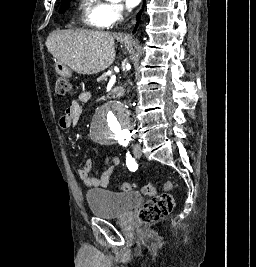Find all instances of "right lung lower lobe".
I'll list each match as a JSON object with an SVG mask.
<instances>
[{
  "label": "right lung lower lobe",
  "instance_id": "right-lung-lower-lobe-1",
  "mask_svg": "<svg viewBox=\"0 0 256 267\" xmlns=\"http://www.w3.org/2000/svg\"><path fill=\"white\" fill-rule=\"evenodd\" d=\"M139 19H140V13L137 15V25H138V23H139ZM137 25H136V27H135V29H134V31L133 32H135L136 31V29H137Z\"/></svg>",
  "mask_w": 256,
  "mask_h": 267
}]
</instances>
